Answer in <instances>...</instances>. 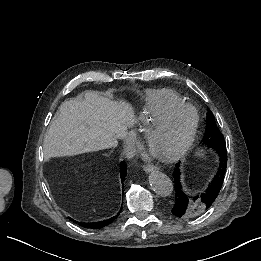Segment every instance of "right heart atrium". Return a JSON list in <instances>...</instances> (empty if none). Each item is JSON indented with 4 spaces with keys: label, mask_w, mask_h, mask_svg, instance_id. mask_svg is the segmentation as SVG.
<instances>
[{
    "label": "right heart atrium",
    "mask_w": 261,
    "mask_h": 261,
    "mask_svg": "<svg viewBox=\"0 0 261 261\" xmlns=\"http://www.w3.org/2000/svg\"><path fill=\"white\" fill-rule=\"evenodd\" d=\"M121 112H122V109H121ZM122 114H123V112H122ZM123 117H124V120H125L126 125H127V133H126V136H125L123 142H124V144H131L133 142V133L129 128L128 122H127L124 114H123Z\"/></svg>",
    "instance_id": "d8ad5b80"
}]
</instances>
